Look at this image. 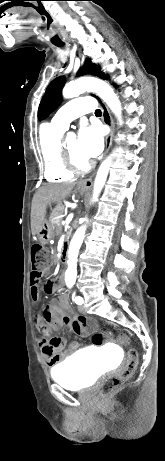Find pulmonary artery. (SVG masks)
Segmentation results:
<instances>
[{"instance_id":"pulmonary-artery-1","label":"pulmonary artery","mask_w":165,"mask_h":461,"mask_svg":"<svg viewBox=\"0 0 165 461\" xmlns=\"http://www.w3.org/2000/svg\"><path fill=\"white\" fill-rule=\"evenodd\" d=\"M96 107L91 97H80L66 103L51 119L53 126L66 130L69 123L77 117L92 112Z\"/></svg>"}]
</instances>
